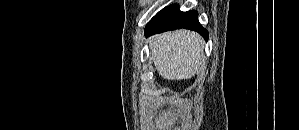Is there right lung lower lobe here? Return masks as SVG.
Masks as SVG:
<instances>
[{"label": "right lung lower lobe", "mask_w": 299, "mask_h": 130, "mask_svg": "<svg viewBox=\"0 0 299 130\" xmlns=\"http://www.w3.org/2000/svg\"><path fill=\"white\" fill-rule=\"evenodd\" d=\"M179 28L197 31L205 40H208V31L199 23L198 12L195 10L179 11L177 4L170 5L158 12L146 25L145 35L149 36Z\"/></svg>", "instance_id": "1"}]
</instances>
